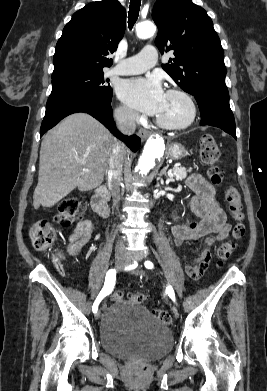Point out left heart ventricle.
I'll return each mask as SVG.
<instances>
[{
  "mask_svg": "<svg viewBox=\"0 0 267 391\" xmlns=\"http://www.w3.org/2000/svg\"><path fill=\"white\" fill-rule=\"evenodd\" d=\"M188 114V106L180 96L166 94L162 109L157 116L171 123H181L187 119Z\"/></svg>",
  "mask_w": 267,
  "mask_h": 391,
  "instance_id": "b2bd125f",
  "label": "left heart ventricle"
}]
</instances>
